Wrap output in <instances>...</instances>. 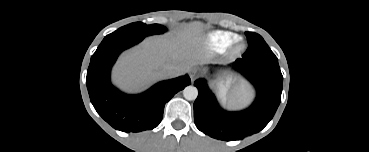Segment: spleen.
<instances>
[{
  "mask_svg": "<svg viewBox=\"0 0 369 152\" xmlns=\"http://www.w3.org/2000/svg\"><path fill=\"white\" fill-rule=\"evenodd\" d=\"M248 94L244 95L240 100H239V104L242 105L244 103L247 102V99H248Z\"/></svg>",
  "mask_w": 369,
  "mask_h": 152,
  "instance_id": "obj_1",
  "label": "spleen"
}]
</instances>
